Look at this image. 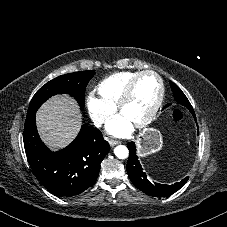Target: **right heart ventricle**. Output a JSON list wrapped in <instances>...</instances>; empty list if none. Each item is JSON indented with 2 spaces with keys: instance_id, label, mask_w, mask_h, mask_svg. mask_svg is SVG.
Segmentation results:
<instances>
[{
  "instance_id": "e07e8e85",
  "label": "right heart ventricle",
  "mask_w": 227,
  "mask_h": 227,
  "mask_svg": "<svg viewBox=\"0 0 227 227\" xmlns=\"http://www.w3.org/2000/svg\"><path fill=\"white\" fill-rule=\"evenodd\" d=\"M138 71L116 72L103 79L95 88L99 99L110 106H116L130 80Z\"/></svg>"
}]
</instances>
